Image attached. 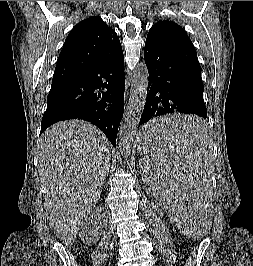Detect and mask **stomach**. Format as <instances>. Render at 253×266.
Masks as SVG:
<instances>
[{
  "label": "stomach",
  "instance_id": "0dacf381",
  "mask_svg": "<svg viewBox=\"0 0 253 266\" xmlns=\"http://www.w3.org/2000/svg\"><path fill=\"white\" fill-rule=\"evenodd\" d=\"M140 138H145L144 137V132H143V129H141V131L139 132V134H138V142H139V139ZM140 147V146H139Z\"/></svg>",
  "mask_w": 253,
  "mask_h": 266
}]
</instances>
